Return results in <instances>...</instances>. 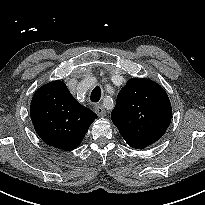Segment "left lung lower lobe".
Listing matches in <instances>:
<instances>
[{"label": "left lung lower lobe", "mask_w": 205, "mask_h": 205, "mask_svg": "<svg viewBox=\"0 0 205 205\" xmlns=\"http://www.w3.org/2000/svg\"><path fill=\"white\" fill-rule=\"evenodd\" d=\"M126 140V143L131 146L132 148H135V149H143L145 148L146 146L142 145V144H139L137 142H134V141H131V140H128V139H125Z\"/></svg>", "instance_id": "left-lung-lower-lobe-1"}]
</instances>
